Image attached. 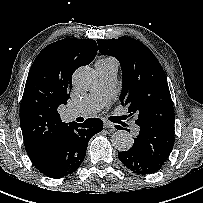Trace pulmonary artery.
<instances>
[{
  "mask_svg": "<svg viewBox=\"0 0 203 203\" xmlns=\"http://www.w3.org/2000/svg\"><path fill=\"white\" fill-rule=\"evenodd\" d=\"M96 70L99 75L97 87L83 101L73 104L67 109L69 119L95 114L110 97L116 81L117 68L97 62ZM138 130L139 128L135 126L134 131L138 132Z\"/></svg>",
  "mask_w": 203,
  "mask_h": 203,
  "instance_id": "e3ab8cb5",
  "label": "pulmonary artery"
}]
</instances>
